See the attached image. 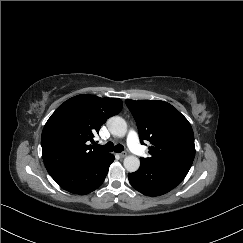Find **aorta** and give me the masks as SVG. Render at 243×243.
<instances>
[{"label":"aorta","mask_w":243,"mask_h":243,"mask_svg":"<svg viewBox=\"0 0 243 243\" xmlns=\"http://www.w3.org/2000/svg\"><path fill=\"white\" fill-rule=\"evenodd\" d=\"M107 127L110 133L117 137H124L127 132L126 121L119 116H113L107 120ZM123 165L128 172H136L140 167V160L136 156H127Z\"/></svg>","instance_id":"762f6f07"}]
</instances>
